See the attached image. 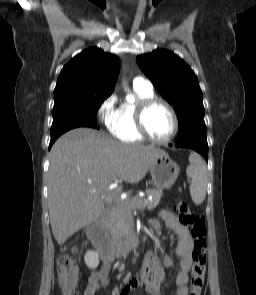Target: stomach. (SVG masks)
Returning a JSON list of instances; mask_svg holds the SVG:
<instances>
[{
	"instance_id": "stomach-1",
	"label": "stomach",
	"mask_w": 256,
	"mask_h": 295,
	"mask_svg": "<svg viewBox=\"0 0 256 295\" xmlns=\"http://www.w3.org/2000/svg\"><path fill=\"white\" fill-rule=\"evenodd\" d=\"M179 172L180 169L178 164L173 161L167 153L158 156L150 167V173L154 185L162 189L171 188L175 183Z\"/></svg>"
}]
</instances>
